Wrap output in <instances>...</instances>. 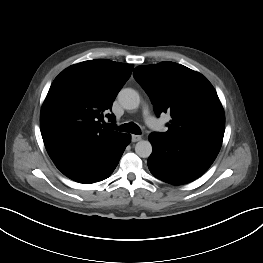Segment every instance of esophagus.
<instances>
[{
    "mask_svg": "<svg viewBox=\"0 0 263 263\" xmlns=\"http://www.w3.org/2000/svg\"><path fill=\"white\" fill-rule=\"evenodd\" d=\"M141 139H142V137L140 135H132L131 136L132 142H137V141H140Z\"/></svg>",
    "mask_w": 263,
    "mask_h": 263,
    "instance_id": "34e87169",
    "label": "esophagus"
}]
</instances>
